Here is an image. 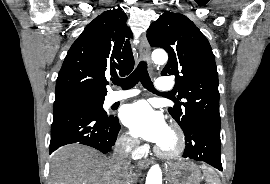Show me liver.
Listing matches in <instances>:
<instances>
[{"label": "liver", "instance_id": "liver-1", "mask_svg": "<svg viewBox=\"0 0 270 184\" xmlns=\"http://www.w3.org/2000/svg\"><path fill=\"white\" fill-rule=\"evenodd\" d=\"M124 177L111 160L79 144L59 148L51 160L50 184H121Z\"/></svg>", "mask_w": 270, "mask_h": 184}]
</instances>
